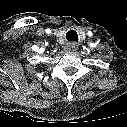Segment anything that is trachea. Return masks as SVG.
Here are the masks:
<instances>
[{
    "label": "trachea",
    "instance_id": "trachea-1",
    "mask_svg": "<svg viewBox=\"0 0 127 127\" xmlns=\"http://www.w3.org/2000/svg\"><path fill=\"white\" fill-rule=\"evenodd\" d=\"M66 39L68 41H78V34L76 31L74 30H70L66 33Z\"/></svg>",
    "mask_w": 127,
    "mask_h": 127
}]
</instances>
